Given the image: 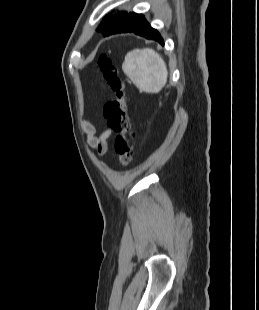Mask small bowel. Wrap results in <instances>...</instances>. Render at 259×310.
<instances>
[{"label":"small bowel","instance_id":"obj_1","mask_svg":"<svg viewBox=\"0 0 259 310\" xmlns=\"http://www.w3.org/2000/svg\"><path fill=\"white\" fill-rule=\"evenodd\" d=\"M81 126L87 136L88 145L96 150L99 155H104L107 152V141L111 136V131L105 130L97 136L95 133V128L90 122L83 121Z\"/></svg>","mask_w":259,"mask_h":310}]
</instances>
